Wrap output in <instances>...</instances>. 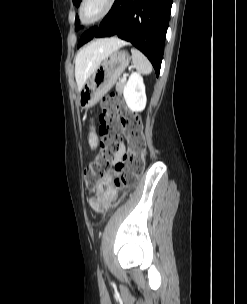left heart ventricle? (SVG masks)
Segmentation results:
<instances>
[{"label": "left heart ventricle", "instance_id": "obj_1", "mask_svg": "<svg viewBox=\"0 0 247 304\" xmlns=\"http://www.w3.org/2000/svg\"><path fill=\"white\" fill-rule=\"evenodd\" d=\"M102 7V0H95L89 3L85 8V15L86 17H91L95 13H97L100 8Z\"/></svg>", "mask_w": 247, "mask_h": 304}]
</instances>
